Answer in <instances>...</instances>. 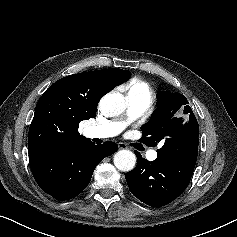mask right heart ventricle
<instances>
[{
  "label": "right heart ventricle",
  "mask_w": 237,
  "mask_h": 237,
  "mask_svg": "<svg viewBox=\"0 0 237 237\" xmlns=\"http://www.w3.org/2000/svg\"><path fill=\"white\" fill-rule=\"evenodd\" d=\"M129 93L151 96V89L146 82L135 80L130 85Z\"/></svg>",
  "instance_id": "1"
}]
</instances>
